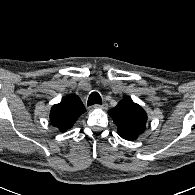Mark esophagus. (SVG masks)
I'll list each match as a JSON object with an SVG mask.
<instances>
[{"label": "esophagus", "mask_w": 195, "mask_h": 195, "mask_svg": "<svg viewBox=\"0 0 195 195\" xmlns=\"http://www.w3.org/2000/svg\"><path fill=\"white\" fill-rule=\"evenodd\" d=\"M93 107L106 110L108 108V105L106 103H103L101 105L100 104H95Z\"/></svg>", "instance_id": "obj_1"}]
</instances>
